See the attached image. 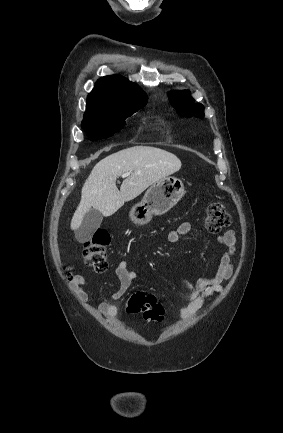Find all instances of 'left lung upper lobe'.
I'll use <instances>...</instances> for the list:
<instances>
[{"label":"left lung upper lobe","instance_id":"1","mask_svg":"<svg viewBox=\"0 0 283 433\" xmlns=\"http://www.w3.org/2000/svg\"><path fill=\"white\" fill-rule=\"evenodd\" d=\"M171 105L183 116L204 117V107L200 103H194L188 90L173 91L169 94Z\"/></svg>","mask_w":283,"mask_h":433}]
</instances>
